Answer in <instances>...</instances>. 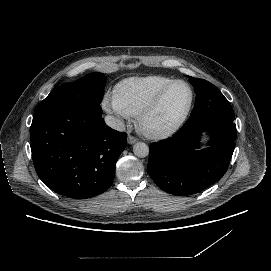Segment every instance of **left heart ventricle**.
<instances>
[{
  "instance_id": "obj_1",
  "label": "left heart ventricle",
  "mask_w": 271,
  "mask_h": 271,
  "mask_svg": "<svg viewBox=\"0 0 271 271\" xmlns=\"http://www.w3.org/2000/svg\"><path fill=\"white\" fill-rule=\"evenodd\" d=\"M190 101V87L185 83L176 84L168 92L158 110L147 120V128L157 130L170 127L182 117Z\"/></svg>"
}]
</instances>
